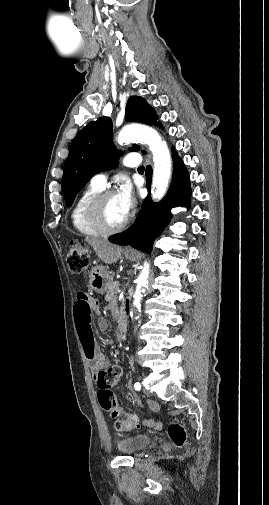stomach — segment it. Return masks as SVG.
<instances>
[{"label":"stomach","mask_w":269,"mask_h":505,"mask_svg":"<svg viewBox=\"0 0 269 505\" xmlns=\"http://www.w3.org/2000/svg\"><path fill=\"white\" fill-rule=\"evenodd\" d=\"M125 258L131 261L136 259L133 254H125ZM113 278L108 271V268L102 265H97L89 271V286L92 290L98 293H105L112 284Z\"/></svg>","instance_id":"stomach-1"}]
</instances>
